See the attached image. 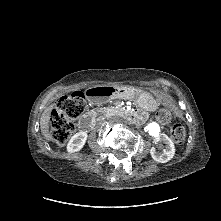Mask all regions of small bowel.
I'll return each mask as SVG.
<instances>
[{"mask_svg":"<svg viewBox=\"0 0 221 221\" xmlns=\"http://www.w3.org/2000/svg\"><path fill=\"white\" fill-rule=\"evenodd\" d=\"M163 101H164V103L171 104L172 99H171L170 97H168V96H165V97L163 98Z\"/></svg>","mask_w":221,"mask_h":221,"instance_id":"small-bowel-1","label":"small bowel"}]
</instances>
